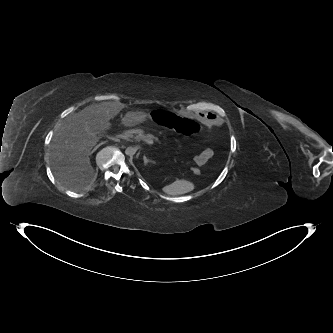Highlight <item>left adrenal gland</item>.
I'll list each match as a JSON object with an SVG mask.
<instances>
[{
  "instance_id": "1",
  "label": "left adrenal gland",
  "mask_w": 333,
  "mask_h": 333,
  "mask_svg": "<svg viewBox=\"0 0 333 333\" xmlns=\"http://www.w3.org/2000/svg\"><path fill=\"white\" fill-rule=\"evenodd\" d=\"M143 160L145 166H147L149 163H155L154 161L147 159L145 155L143 156Z\"/></svg>"
}]
</instances>
